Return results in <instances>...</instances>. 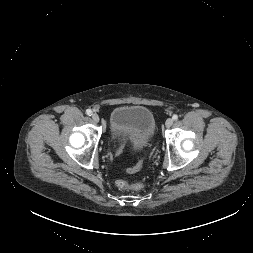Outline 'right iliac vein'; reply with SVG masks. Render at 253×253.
I'll use <instances>...</instances> for the list:
<instances>
[{"mask_svg": "<svg viewBox=\"0 0 253 253\" xmlns=\"http://www.w3.org/2000/svg\"><path fill=\"white\" fill-rule=\"evenodd\" d=\"M92 119L94 122L98 123L100 118H99V115L97 113H93L92 114Z\"/></svg>", "mask_w": 253, "mask_h": 253, "instance_id": "obj_1", "label": "right iliac vein"}]
</instances>
